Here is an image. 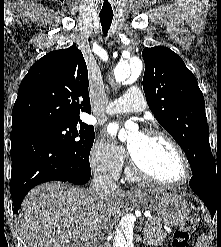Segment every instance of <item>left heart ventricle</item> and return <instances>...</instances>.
<instances>
[{"instance_id": "left-heart-ventricle-1", "label": "left heart ventricle", "mask_w": 221, "mask_h": 247, "mask_svg": "<svg viewBox=\"0 0 221 247\" xmlns=\"http://www.w3.org/2000/svg\"><path fill=\"white\" fill-rule=\"evenodd\" d=\"M128 148L156 177L168 182L184 179L183 161L176 149L166 141L135 132L128 138Z\"/></svg>"}]
</instances>
